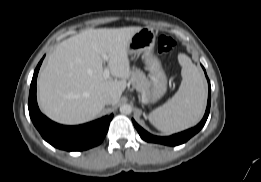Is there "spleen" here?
I'll return each mask as SVG.
<instances>
[{
    "label": "spleen",
    "mask_w": 261,
    "mask_h": 182,
    "mask_svg": "<svg viewBox=\"0 0 261 182\" xmlns=\"http://www.w3.org/2000/svg\"><path fill=\"white\" fill-rule=\"evenodd\" d=\"M182 81L178 91L148 116L151 124L165 134L194 126L201 119L206 104V86L199 69L185 55L178 56Z\"/></svg>",
    "instance_id": "obj_1"
}]
</instances>
